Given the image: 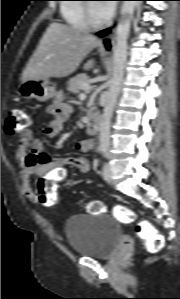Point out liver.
Wrapping results in <instances>:
<instances>
[{
    "mask_svg": "<svg viewBox=\"0 0 180 299\" xmlns=\"http://www.w3.org/2000/svg\"><path fill=\"white\" fill-rule=\"evenodd\" d=\"M101 41L88 32L53 22L46 29L39 45L29 59L21 77L28 79L63 78L79 67L84 57ZM94 59L84 65V70L93 67Z\"/></svg>",
    "mask_w": 180,
    "mask_h": 299,
    "instance_id": "obj_1",
    "label": "liver"
}]
</instances>
